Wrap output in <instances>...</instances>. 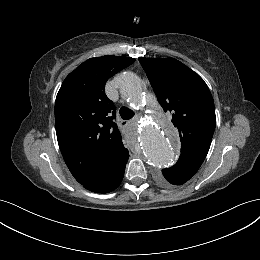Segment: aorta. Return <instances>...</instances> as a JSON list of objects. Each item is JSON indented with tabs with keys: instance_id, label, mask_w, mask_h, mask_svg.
<instances>
[{
	"instance_id": "aorta-1",
	"label": "aorta",
	"mask_w": 260,
	"mask_h": 260,
	"mask_svg": "<svg viewBox=\"0 0 260 260\" xmlns=\"http://www.w3.org/2000/svg\"><path fill=\"white\" fill-rule=\"evenodd\" d=\"M119 85L122 96L135 109H141L143 81L134 73L126 72L121 76ZM146 119L137 132L145 159L158 169L171 166L178 147L177 132L169 123Z\"/></svg>"
}]
</instances>
